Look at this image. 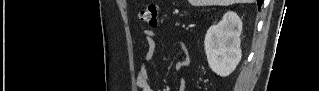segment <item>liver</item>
Here are the masks:
<instances>
[{"mask_svg": "<svg viewBox=\"0 0 319 91\" xmlns=\"http://www.w3.org/2000/svg\"><path fill=\"white\" fill-rule=\"evenodd\" d=\"M254 0H189V3L193 6H228L235 3H253Z\"/></svg>", "mask_w": 319, "mask_h": 91, "instance_id": "liver-1", "label": "liver"}]
</instances>
